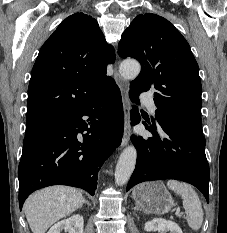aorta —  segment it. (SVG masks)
I'll list each match as a JSON object with an SVG mask.
<instances>
[{
  "mask_svg": "<svg viewBox=\"0 0 227 233\" xmlns=\"http://www.w3.org/2000/svg\"><path fill=\"white\" fill-rule=\"evenodd\" d=\"M141 66L135 60H125L119 66V73L125 79H133L140 73ZM137 151L134 146L126 147L121 153L115 169V182L124 185L128 182L136 165Z\"/></svg>",
  "mask_w": 227,
  "mask_h": 233,
  "instance_id": "762f6f07",
  "label": "aorta"
}]
</instances>
